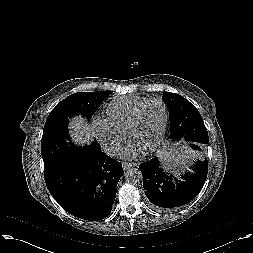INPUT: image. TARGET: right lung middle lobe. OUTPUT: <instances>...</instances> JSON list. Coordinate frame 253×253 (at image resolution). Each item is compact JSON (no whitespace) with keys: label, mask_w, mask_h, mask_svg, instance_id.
<instances>
[{"label":"right lung middle lobe","mask_w":253,"mask_h":253,"mask_svg":"<svg viewBox=\"0 0 253 253\" xmlns=\"http://www.w3.org/2000/svg\"><path fill=\"white\" fill-rule=\"evenodd\" d=\"M112 92H78L59 102L50 112L43 130L41 154L44 168L78 158L86 149H97V140L90 146L78 147L69 138L68 122L72 116L82 115L90 120L103 100Z\"/></svg>","instance_id":"dd1d6c3e"}]
</instances>
